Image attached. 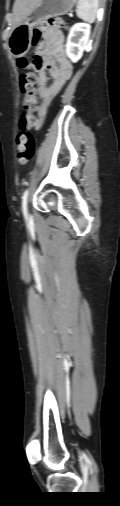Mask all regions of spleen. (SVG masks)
<instances>
[{
	"label": "spleen",
	"mask_w": 120,
	"mask_h": 506,
	"mask_svg": "<svg viewBox=\"0 0 120 506\" xmlns=\"http://www.w3.org/2000/svg\"><path fill=\"white\" fill-rule=\"evenodd\" d=\"M98 10V0H78L77 16L87 22H94Z\"/></svg>",
	"instance_id": "1"
}]
</instances>
